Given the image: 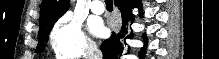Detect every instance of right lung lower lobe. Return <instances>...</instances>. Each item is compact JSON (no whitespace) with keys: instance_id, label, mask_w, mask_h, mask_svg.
I'll return each mask as SVG.
<instances>
[{"instance_id":"right-lung-lower-lobe-1","label":"right lung lower lobe","mask_w":219,"mask_h":59,"mask_svg":"<svg viewBox=\"0 0 219 59\" xmlns=\"http://www.w3.org/2000/svg\"><path fill=\"white\" fill-rule=\"evenodd\" d=\"M116 6L120 8L122 16V28L116 35L114 32L111 37L102 42L100 48L103 52V59H120L122 53L126 50L125 39L133 36L131 24L134 22V15L132 9L139 8V0H114ZM140 11V15L142 16ZM145 47L147 45L146 37L144 36Z\"/></svg>"}]
</instances>
